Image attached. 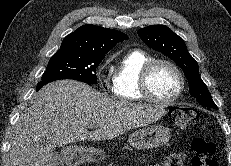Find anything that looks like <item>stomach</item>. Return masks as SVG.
<instances>
[{
  "label": "stomach",
  "mask_w": 231,
  "mask_h": 166,
  "mask_svg": "<svg viewBox=\"0 0 231 166\" xmlns=\"http://www.w3.org/2000/svg\"><path fill=\"white\" fill-rule=\"evenodd\" d=\"M170 139V129L163 125H150L133 132L129 144L138 150L153 149L165 145ZM65 163L76 166L85 161L97 162L105 157L102 149L94 147H66L63 149Z\"/></svg>",
  "instance_id": "obj_1"
}]
</instances>
